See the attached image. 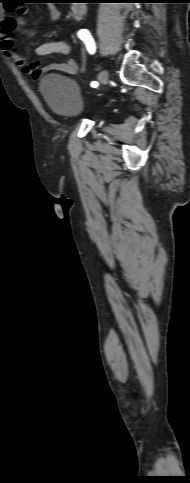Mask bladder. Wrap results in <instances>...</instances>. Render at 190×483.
I'll return each mask as SVG.
<instances>
[{
	"label": "bladder",
	"instance_id": "1",
	"mask_svg": "<svg viewBox=\"0 0 190 483\" xmlns=\"http://www.w3.org/2000/svg\"><path fill=\"white\" fill-rule=\"evenodd\" d=\"M40 90L46 103L59 116L69 120L82 116L83 93L72 78L48 73L41 79Z\"/></svg>",
	"mask_w": 190,
	"mask_h": 483
}]
</instances>
